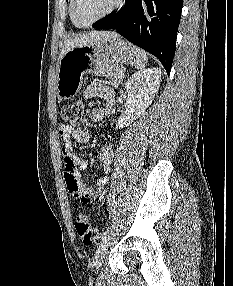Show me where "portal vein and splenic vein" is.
Segmentation results:
<instances>
[{"label": "portal vein and splenic vein", "mask_w": 233, "mask_h": 286, "mask_svg": "<svg viewBox=\"0 0 233 286\" xmlns=\"http://www.w3.org/2000/svg\"><path fill=\"white\" fill-rule=\"evenodd\" d=\"M119 75H120V77H124V72L123 71H121L120 73H119Z\"/></svg>", "instance_id": "obj_1"}]
</instances>
